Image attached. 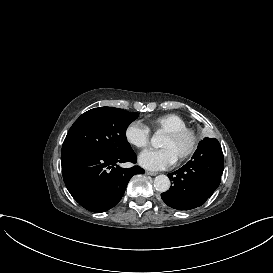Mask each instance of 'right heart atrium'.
Listing matches in <instances>:
<instances>
[{"label": "right heart atrium", "instance_id": "right-heart-atrium-1", "mask_svg": "<svg viewBox=\"0 0 273 273\" xmlns=\"http://www.w3.org/2000/svg\"><path fill=\"white\" fill-rule=\"evenodd\" d=\"M125 137L133 146L144 148L149 144L150 130L140 122L134 121L126 127Z\"/></svg>", "mask_w": 273, "mask_h": 273}]
</instances>
